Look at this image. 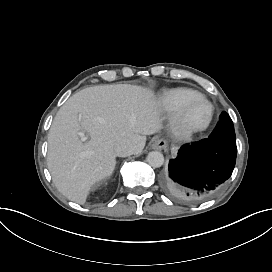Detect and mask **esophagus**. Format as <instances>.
Instances as JSON below:
<instances>
[{
    "mask_svg": "<svg viewBox=\"0 0 272 272\" xmlns=\"http://www.w3.org/2000/svg\"><path fill=\"white\" fill-rule=\"evenodd\" d=\"M167 146H168V144H167L166 140L163 138H155L151 144V148L153 150H164L167 148Z\"/></svg>",
    "mask_w": 272,
    "mask_h": 272,
    "instance_id": "1",
    "label": "esophagus"
}]
</instances>
